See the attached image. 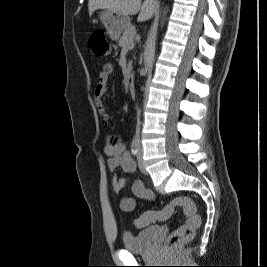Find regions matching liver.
<instances>
[{"label":"liver","instance_id":"obj_1","mask_svg":"<svg viewBox=\"0 0 267 267\" xmlns=\"http://www.w3.org/2000/svg\"><path fill=\"white\" fill-rule=\"evenodd\" d=\"M89 15L97 9H106L124 16L138 15V22H144L151 19L158 9V3L155 0H89Z\"/></svg>","mask_w":267,"mask_h":267}]
</instances>
